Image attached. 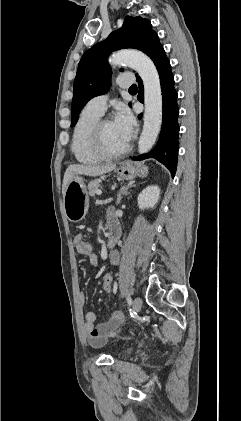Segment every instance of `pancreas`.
I'll return each mask as SVG.
<instances>
[{"instance_id": "1", "label": "pancreas", "mask_w": 241, "mask_h": 421, "mask_svg": "<svg viewBox=\"0 0 241 421\" xmlns=\"http://www.w3.org/2000/svg\"><path fill=\"white\" fill-rule=\"evenodd\" d=\"M100 187V180L96 179L91 181L88 184V192L91 197L95 196L96 192L99 190Z\"/></svg>"}]
</instances>
